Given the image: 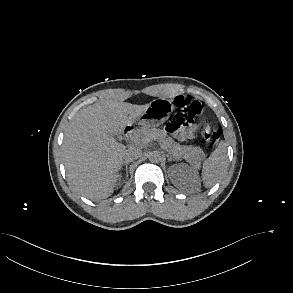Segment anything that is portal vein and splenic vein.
I'll return each instance as SVG.
<instances>
[{"label": "portal vein and splenic vein", "instance_id": "18ae733b", "mask_svg": "<svg viewBox=\"0 0 293 293\" xmlns=\"http://www.w3.org/2000/svg\"><path fill=\"white\" fill-rule=\"evenodd\" d=\"M132 141H134L135 143L143 142V140L139 136H133Z\"/></svg>", "mask_w": 293, "mask_h": 293}]
</instances>
